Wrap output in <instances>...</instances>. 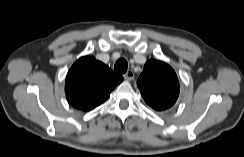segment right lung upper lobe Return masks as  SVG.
<instances>
[{"mask_svg":"<svg viewBox=\"0 0 244 157\" xmlns=\"http://www.w3.org/2000/svg\"><path fill=\"white\" fill-rule=\"evenodd\" d=\"M122 81V76L89 55L78 59L70 68L65 83L66 97L73 107L92 110Z\"/></svg>","mask_w":244,"mask_h":157,"instance_id":"1","label":"right lung upper lobe"}]
</instances>
